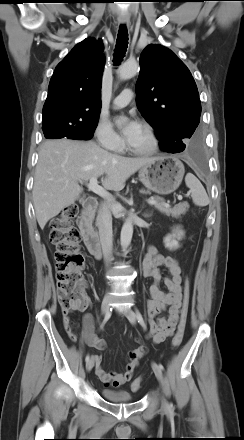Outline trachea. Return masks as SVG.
Here are the masks:
<instances>
[{
	"mask_svg": "<svg viewBox=\"0 0 244 440\" xmlns=\"http://www.w3.org/2000/svg\"><path fill=\"white\" fill-rule=\"evenodd\" d=\"M128 47V32L125 25H121L118 31L117 40H116V46L114 50V62L116 65H118L123 57L125 56V53L127 51Z\"/></svg>",
	"mask_w": 244,
	"mask_h": 440,
	"instance_id": "trachea-1",
	"label": "trachea"
}]
</instances>
